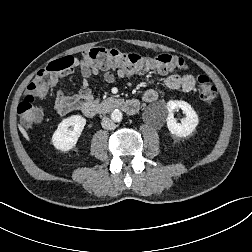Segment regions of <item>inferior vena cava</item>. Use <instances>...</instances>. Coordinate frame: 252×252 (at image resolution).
Segmentation results:
<instances>
[{"instance_id":"inferior-vena-cava-1","label":"inferior vena cava","mask_w":252,"mask_h":252,"mask_svg":"<svg viewBox=\"0 0 252 252\" xmlns=\"http://www.w3.org/2000/svg\"><path fill=\"white\" fill-rule=\"evenodd\" d=\"M101 125L106 130H114L116 127L114 122L108 117H103Z\"/></svg>"}]
</instances>
